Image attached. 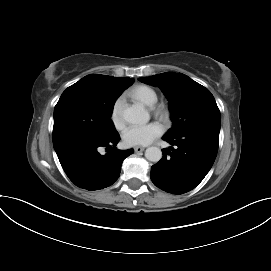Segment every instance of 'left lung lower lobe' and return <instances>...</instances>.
Masks as SVG:
<instances>
[{
  "label": "left lung lower lobe",
  "mask_w": 271,
  "mask_h": 271,
  "mask_svg": "<svg viewBox=\"0 0 271 271\" xmlns=\"http://www.w3.org/2000/svg\"><path fill=\"white\" fill-rule=\"evenodd\" d=\"M163 140L176 148L164 149V156L151 167L155 186L183 194L194 189L211 169L218 151L219 130L198 129Z\"/></svg>",
  "instance_id": "obj_1"
}]
</instances>
